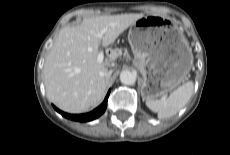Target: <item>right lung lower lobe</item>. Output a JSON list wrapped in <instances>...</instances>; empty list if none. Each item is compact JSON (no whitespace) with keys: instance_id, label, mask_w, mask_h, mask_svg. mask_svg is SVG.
<instances>
[{"instance_id":"obj_1","label":"right lung lower lobe","mask_w":230,"mask_h":155,"mask_svg":"<svg viewBox=\"0 0 230 155\" xmlns=\"http://www.w3.org/2000/svg\"><path fill=\"white\" fill-rule=\"evenodd\" d=\"M109 94H110V90H109L105 100L103 101V103L99 107H97L93 111H91L89 113H85V114H79V115L68 114V113L62 112L61 110H59L55 106H53V107L57 112H59L65 118H68V119H71L74 121H79V122H87V121H91V120L98 118L99 116H101L104 113V111L106 110V107H107V100H108Z\"/></svg>"}]
</instances>
